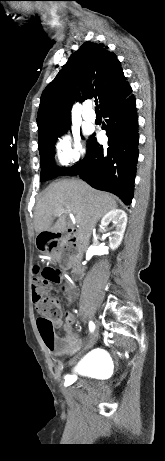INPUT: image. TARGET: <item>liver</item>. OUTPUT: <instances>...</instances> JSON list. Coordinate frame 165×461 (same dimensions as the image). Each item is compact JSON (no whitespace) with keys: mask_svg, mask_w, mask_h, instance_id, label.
I'll list each match as a JSON object with an SVG mask.
<instances>
[{"mask_svg":"<svg viewBox=\"0 0 165 461\" xmlns=\"http://www.w3.org/2000/svg\"><path fill=\"white\" fill-rule=\"evenodd\" d=\"M113 196L97 191L80 180H61L50 184L38 201L34 213L36 233L66 231L67 214L74 215L78 229L75 237L87 244L97 222L116 209ZM58 220L53 224V218Z\"/></svg>","mask_w":165,"mask_h":461,"instance_id":"liver-1","label":"liver"}]
</instances>
